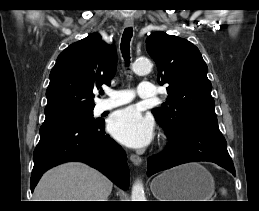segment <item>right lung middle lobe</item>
<instances>
[{
    "label": "right lung middle lobe",
    "mask_w": 259,
    "mask_h": 211,
    "mask_svg": "<svg viewBox=\"0 0 259 211\" xmlns=\"http://www.w3.org/2000/svg\"><path fill=\"white\" fill-rule=\"evenodd\" d=\"M65 120L76 121V122H80V123L97 122V120L95 121L93 118V111L77 114V115L71 116Z\"/></svg>",
    "instance_id": "dd1d6c3e"
}]
</instances>
